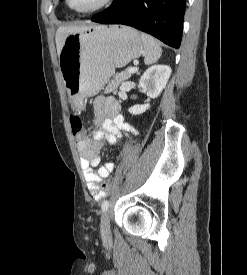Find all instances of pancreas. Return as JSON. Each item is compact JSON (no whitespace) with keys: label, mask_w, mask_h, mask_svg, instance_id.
<instances>
[{"label":"pancreas","mask_w":247,"mask_h":275,"mask_svg":"<svg viewBox=\"0 0 247 275\" xmlns=\"http://www.w3.org/2000/svg\"><path fill=\"white\" fill-rule=\"evenodd\" d=\"M132 76L131 73H129L128 71H123L121 73H118L114 79H112L108 85L106 86L104 93H110V92H114L116 93V90L118 88V86L123 82L128 80L130 77Z\"/></svg>","instance_id":"1"}]
</instances>
